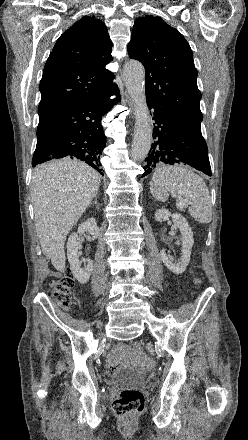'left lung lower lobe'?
I'll use <instances>...</instances> for the list:
<instances>
[{"label":"left lung lower lobe","instance_id":"1","mask_svg":"<svg viewBox=\"0 0 248 440\" xmlns=\"http://www.w3.org/2000/svg\"><path fill=\"white\" fill-rule=\"evenodd\" d=\"M148 107L154 108L155 127L153 134L158 141L152 144L146 157L142 177L165 164L184 163L211 176L208 149L201 131L191 128L170 115L156 109L147 100Z\"/></svg>","mask_w":248,"mask_h":440}]
</instances>
